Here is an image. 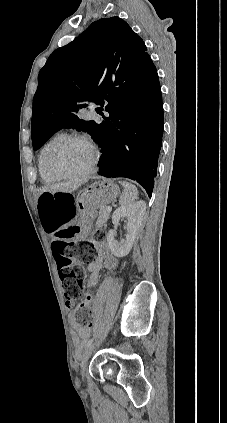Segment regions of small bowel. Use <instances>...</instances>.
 <instances>
[{
    "label": "small bowel",
    "mask_w": 227,
    "mask_h": 423,
    "mask_svg": "<svg viewBox=\"0 0 227 423\" xmlns=\"http://www.w3.org/2000/svg\"><path fill=\"white\" fill-rule=\"evenodd\" d=\"M61 230L62 229H60L59 231ZM59 231H56V232L46 231L49 234V236L52 238L53 243L57 240ZM98 249H99L98 256L96 257L94 261L88 264V270L90 272V276L87 282L88 286H94L98 282L99 274H100V270L102 266H105L107 268H114L117 265L116 257L108 250L105 244H99ZM73 305H74L73 301H66L67 307L71 308ZM99 317H100V312L98 309H95L92 315L93 321L96 322L99 319ZM71 321H72V326L77 333L75 345L78 349H80L89 338L93 323H91V325H81L76 322L74 315H72Z\"/></svg>",
    "instance_id": "1"
}]
</instances>
